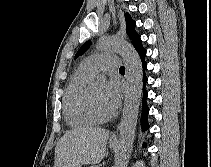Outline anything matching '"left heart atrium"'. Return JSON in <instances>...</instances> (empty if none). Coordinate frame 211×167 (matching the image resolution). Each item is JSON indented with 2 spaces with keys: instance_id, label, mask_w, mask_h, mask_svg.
<instances>
[{
  "instance_id": "1",
  "label": "left heart atrium",
  "mask_w": 211,
  "mask_h": 167,
  "mask_svg": "<svg viewBox=\"0 0 211 167\" xmlns=\"http://www.w3.org/2000/svg\"><path fill=\"white\" fill-rule=\"evenodd\" d=\"M122 97V86L118 79L112 77L108 81L104 92V104L110 114H113L119 107Z\"/></svg>"
}]
</instances>
